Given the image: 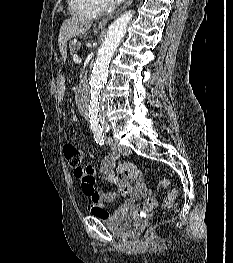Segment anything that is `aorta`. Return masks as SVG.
<instances>
[{
  "mask_svg": "<svg viewBox=\"0 0 233 263\" xmlns=\"http://www.w3.org/2000/svg\"><path fill=\"white\" fill-rule=\"evenodd\" d=\"M132 16V11L125 12L109 26L104 43L98 51L89 81L80 90L79 107L88 117L92 127L104 124V86L108 77V67L126 33Z\"/></svg>",
  "mask_w": 233,
  "mask_h": 263,
  "instance_id": "1",
  "label": "aorta"
}]
</instances>
